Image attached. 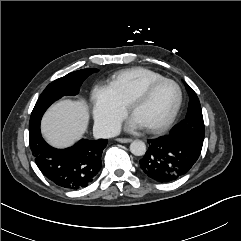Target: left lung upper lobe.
I'll list each match as a JSON object with an SVG mask.
<instances>
[{
    "mask_svg": "<svg viewBox=\"0 0 241 241\" xmlns=\"http://www.w3.org/2000/svg\"><path fill=\"white\" fill-rule=\"evenodd\" d=\"M190 101L185 120L174 128L170 135L184 138L190 145L201 151L204 140V122L199 99L194 90L185 83Z\"/></svg>",
    "mask_w": 241,
    "mask_h": 241,
    "instance_id": "5c2ea615",
    "label": "left lung upper lobe"
}]
</instances>
